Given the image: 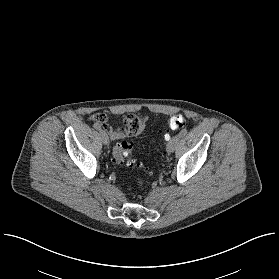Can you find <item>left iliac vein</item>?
<instances>
[{
    "label": "left iliac vein",
    "instance_id": "4c4485c4",
    "mask_svg": "<svg viewBox=\"0 0 279 279\" xmlns=\"http://www.w3.org/2000/svg\"><path fill=\"white\" fill-rule=\"evenodd\" d=\"M179 138L180 137L178 135H176V136L172 137L171 140L168 142L167 147H166L168 153H172L175 150V147H176L177 142L179 141Z\"/></svg>",
    "mask_w": 279,
    "mask_h": 279
}]
</instances>
